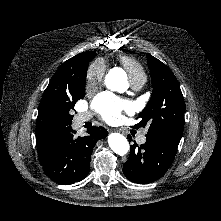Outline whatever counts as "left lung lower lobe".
Masks as SVG:
<instances>
[{
    "label": "left lung lower lobe",
    "instance_id": "0a47b994",
    "mask_svg": "<svg viewBox=\"0 0 221 221\" xmlns=\"http://www.w3.org/2000/svg\"><path fill=\"white\" fill-rule=\"evenodd\" d=\"M146 138L145 144L130 146L129 159L123 166L124 175L134 183L147 184L161 178L174 160L181 136L161 133Z\"/></svg>",
    "mask_w": 221,
    "mask_h": 221
}]
</instances>
